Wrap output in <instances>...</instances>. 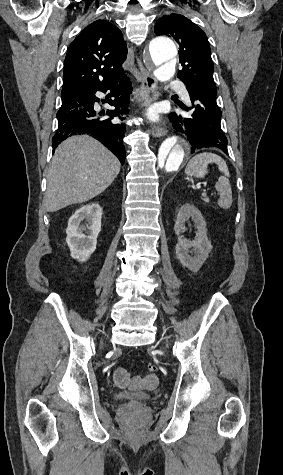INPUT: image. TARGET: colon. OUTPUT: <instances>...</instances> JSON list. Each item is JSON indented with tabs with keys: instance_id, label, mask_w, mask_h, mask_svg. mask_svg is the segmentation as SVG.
I'll list each match as a JSON object with an SVG mask.
<instances>
[{
	"instance_id": "5ec220e1",
	"label": "colon",
	"mask_w": 283,
	"mask_h": 475,
	"mask_svg": "<svg viewBox=\"0 0 283 475\" xmlns=\"http://www.w3.org/2000/svg\"><path fill=\"white\" fill-rule=\"evenodd\" d=\"M158 369V364L156 362H150L148 364V370L150 372H155Z\"/></svg>"
}]
</instances>
